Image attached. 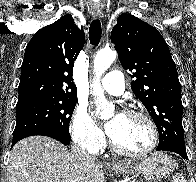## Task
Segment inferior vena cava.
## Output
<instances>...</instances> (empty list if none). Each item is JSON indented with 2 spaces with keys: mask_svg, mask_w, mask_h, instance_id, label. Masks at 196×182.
<instances>
[{
  "mask_svg": "<svg viewBox=\"0 0 196 182\" xmlns=\"http://www.w3.org/2000/svg\"><path fill=\"white\" fill-rule=\"evenodd\" d=\"M73 153L77 158L92 159V157L81 147L80 143L73 145Z\"/></svg>",
  "mask_w": 196,
  "mask_h": 182,
  "instance_id": "602c4592",
  "label": "inferior vena cava"
}]
</instances>
